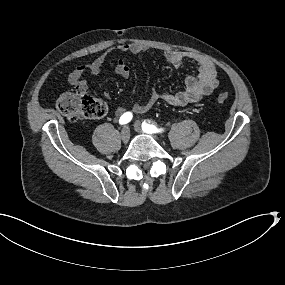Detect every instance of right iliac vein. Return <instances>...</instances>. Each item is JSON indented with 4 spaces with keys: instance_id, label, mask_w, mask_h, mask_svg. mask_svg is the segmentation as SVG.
Listing matches in <instances>:
<instances>
[{
    "instance_id": "1",
    "label": "right iliac vein",
    "mask_w": 285,
    "mask_h": 285,
    "mask_svg": "<svg viewBox=\"0 0 285 285\" xmlns=\"http://www.w3.org/2000/svg\"><path fill=\"white\" fill-rule=\"evenodd\" d=\"M130 134L131 132H130L129 127L125 126L121 131V135H120L121 140L125 143L128 142L130 139Z\"/></svg>"
}]
</instances>
